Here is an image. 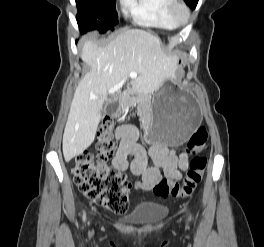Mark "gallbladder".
<instances>
[{
  "label": "gallbladder",
  "mask_w": 264,
  "mask_h": 247,
  "mask_svg": "<svg viewBox=\"0 0 264 247\" xmlns=\"http://www.w3.org/2000/svg\"><path fill=\"white\" fill-rule=\"evenodd\" d=\"M101 113V115H104L105 113H106V111H105V109H102V111H100ZM101 118H104V116H101Z\"/></svg>",
  "instance_id": "gallbladder-1"
}]
</instances>
